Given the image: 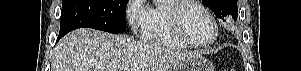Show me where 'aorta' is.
I'll return each mask as SVG.
<instances>
[{"label":"aorta","mask_w":301,"mask_h":71,"mask_svg":"<svg viewBox=\"0 0 301 71\" xmlns=\"http://www.w3.org/2000/svg\"><path fill=\"white\" fill-rule=\"evenodd\" d=\"M157 2H161L162 0H156Z\"/></svg>","instance_id":"762f6f07"}]
</instances>
